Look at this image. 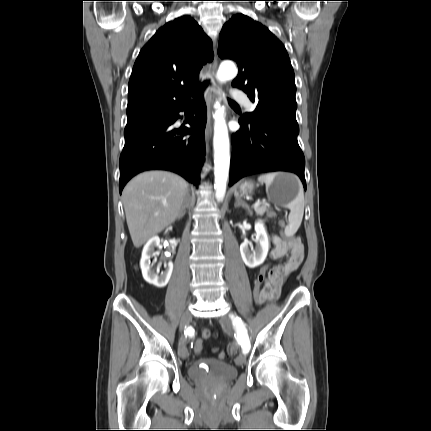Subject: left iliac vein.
<instances>
[{"label":"left iliac vein","mask_w":431,"mask_h":431,"mask_svg":"<svg viewBox=\"0 0 431 431\" xmlns=\"http://www.w3.org/2000/svg\"><path fill=\"white\" fill-rule=\"evenodd\" d=\"M222 322L224 324H226V325L230 324V322H231V316H230V314L227 315V316L222 317ZM235 363L238 366H241V365L245 364L246 363V356H245V354H239L236 357V359H235Z\"/></svg>","instance_id":"obj_1"}]
</instances>
